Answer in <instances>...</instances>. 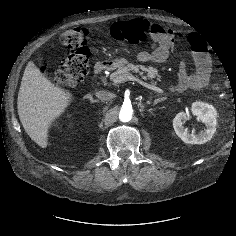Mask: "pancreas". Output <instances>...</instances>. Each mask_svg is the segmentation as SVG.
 Wrapping results in <instances>:
<instances>
[{
    "label": "pancreas",
    "instance_id": "obj_1",
    "mask_svg": "<svg viewBox=\"0 0 236 236\" xmlns=\"http://www.w3.org/2000/svg\"><path fill=\"white\" fill-rule=\"evenodd\" d=\"M147 73V76L144 77V79H154L160 80V75L158 73V70L153 67H145L142 65H133V64H127L124 67H119V69L114 72L111 75V79L119 78V77H127L131 76L132 73H139L142 75L143 73ZM153 84H156V82H153Z\"/></svg>",
    "mask_w": 236,
    "mask_h": 236
}]
</instances>
